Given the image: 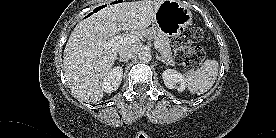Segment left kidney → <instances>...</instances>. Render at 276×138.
I'll use <instances>...</instances> for the list:
<instances>
[{"label":"left kidney","instance_id":"1","mask_svg":"<svg viewBox=\"0 0 276 138\" xmlns=\"http://www.w3.org/2000/svg\"><path fill=\"white\" fill-rule=\"evenodd\" d=\"M164 84L169 89H177L182 92L186 88V79L174 69H167L162 74Z\"/></svg>","mask_w":276,"mask_h":138}]
</instances>
